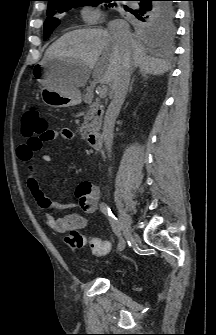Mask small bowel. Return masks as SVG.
I'll return each instance as SVG.
<instances>
[{
    "instance_id": "c3829d8e",
    "label": "small bowel",
    "mask_w": 216,
    "mask_h": 335,
    "mask_svg": "<svg viewBox=\"0 0 216 335\" xmlns=\"http://www.w3.org/2000/svg\"><path fill=\"white\" fill-rule=\"evenodd\" d=\"M72 138V131L68 128H62L57 131L50 130L45 142L53 141L56 139L70 140ZM18 156L22 161L27 163V187L36 204L40 208L44 209L43 218L45 222L52 229L62 234L68 233L72 230L85 228L88 224V220L84 215L78 213H71L55 218L52 216L49 210L53 209L57 211H67L79 206L84 210L85 213L94 214L100 208L101 204L99 190L95 188L90 181H84L79 184L76 190V197L78 199V203H54L46 198L40 189L36 169L32 164L33 151L28 144H24L18 147ZM43 161L45 163H50L52 161V157L48 154H45L43 156ZM104 242L108 247V254L111 249V244L108 241Z\"/></svg>"
}]
</instances>
